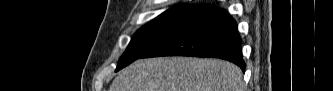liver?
<instances>
[{"mask_svg": "<svg viewBox=\"0 0 333 91\" xmlns=\"http://www.w3.org/2000/svg\"><path fill=\"white\" fill-rule=\"evenodd\" d=\"M109 91H244L242 72L218 59H140L125 68Z\"/></svg>", "mask_w": 333, "mask_h": 91, "instance_id": "obj_1", "label": "liver"}]
</instances>
